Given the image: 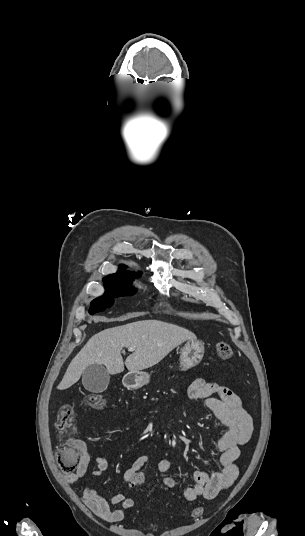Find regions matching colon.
I'll return each mask as SVG.
<instances>
[{"label": "colon", "instance_id": "colon-1", "mask_svg": "<svg viewBox=\"0 0 305 536\" xmlns=\"http://www.w3.org/2000/svg\"><path fill=\"white\" fill-rule=\"evenodd\" d=\"M214 354L222 361L228 360L231 355V347L227 342L220 341L215 344ZM84 403L93 409H103L106 406V398L102 394L89 393L84 397ZM56 430L59 437H65L72 433L76 427V414L73 406L64 404L58 411L56 418ZM57 460L60 462V469L63 472L77 471L78 469V453L80 452V443L75 437L67 439L66 443L57 445ZM135 474V471H132ZM145 477L138 473L131 480L130 487L137 491L143 487ZM190 517H201L203 511L201 509H192L189 512Z\"/></svg>", "mask_w": 305, "mask_h": 536}]
</instances>
